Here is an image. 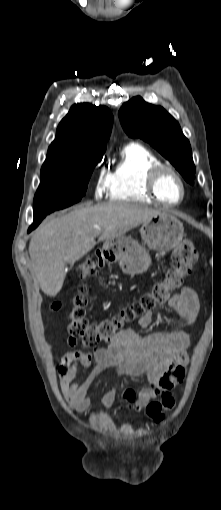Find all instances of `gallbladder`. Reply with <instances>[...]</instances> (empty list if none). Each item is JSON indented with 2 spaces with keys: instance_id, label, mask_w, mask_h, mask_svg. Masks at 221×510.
<instances>
[{
  "instance_id": "bac80fb5",
  "label": "gallbladder",
  "mask_w": 221,
  "mask_h": 510,
  "mask_svg": "<svg viewBox=\"0 0 221 510\" xmlns=\"http://www.w3.org/2000/svg\"><path fill=\"white\" fill-rule=\"evenodd\" d=\"M65 268H69L68 265H65Z\"/></svg>"
}]
</instances>
